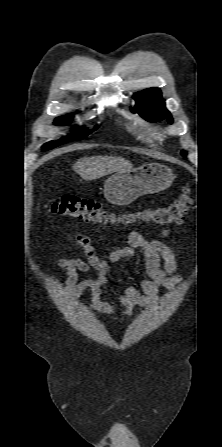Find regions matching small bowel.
<instances>
[{
	"label": "small bowel",
	"instance_id": "c3829d8e",
	"mask_svg": "<svg viewBox=\"0 0 222 447\" xmlns=\"http://www.w3.org/2000/svg\"><path fill=\"white\" fill-rule=\"evenodd\" d=\"M169 231L162 229L159 239H146L139 232L132 231L128 235V246L112 250L99 257L91 239L85 235H77L75 243L83 249L86 259L57 257V264L67 272V293L75 296L89 290L92 296L91 307L104 315L117 314L116 309L102 300L103 292L110 283V275L115 266L122 260L132 259L135 249L141 248L144 253L147 279L141 283V291L134 285H128L116 298L123 306L121 315L130 316L136 306H147L158 300L159 289L172 288L178 281L177 258L172 248L165 242ZM161 260L164 264L161 265ZM78 272L92 273L95 278L79 280Z\"/></svg>",
	"mask_w": 222,
	"mask_h": 447
}]
</instances>
